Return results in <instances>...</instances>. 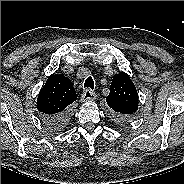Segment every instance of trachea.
I'll return each instance as SVG.
<instances>
[{
	"label": "trachea",
	"instance_id": "1",
	"mask_svg": "<svg viewBox=\"0 0 184 184\" xmlns=\"http://www.w3.org/2000/svg\"><path fill=\"white\" fill-rule=\"evenodd\" d=\"M84 88H91L92 90L94 89V81L92 77H88L84 83Z\"/></svg>",
	"mask_w": 184,
	"mask_h": 184
}]
</instances>
